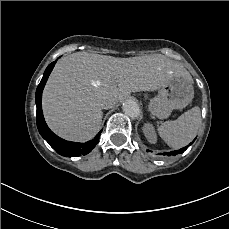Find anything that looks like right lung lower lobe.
Returning <instances> with one entry per match:
<instances>
[{
    "label": "right lung lower lobe",
    "mask_w": 229,
    "mask_h": 229,
    "mask_svg": "<svg viewBox=\"0 0 229 229\" xmlns=\"http://www.w3.org/2000/svg\"><path fill=\"white\" fill-rule=\"evenodd\" d=\"M56 61L52 62L45 70L43 74V78L41 82L39 83L36 95H35V101L37 106V114H36V121H37V127L39 130V133L41 136L48 142V144L60 155L66 156V157H76L81 155H86L96 146L99 140V136L102 132V130L95 136L94 139L86 142V143H76V142H69L66 141L57 135H55L47 126L43 112H42V91L44 89V86L46 84V81L51 73V71L54 68Z\"/></svg>",
    "instance_id": "obj_1"
}]
</instances>
